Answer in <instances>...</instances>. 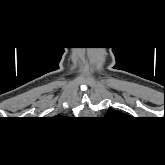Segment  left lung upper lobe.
Instances as JSON below:
<instances>
[{"mask_svg": "<svg viewBox=\"0 0 165 165\" xmlns=\"http://www.w3.org/2000/svg\"><path fill=\"white\" fill-rule=\"evenodd\" d=\"M108 115H112V116H121L123 115L122 113L118 112V111H115V110H111L108 112Z\"/></svg>", "mask_w": 165, "mask_h": 165, "instance_id": "obj_1", "label": "left lung upper lobe"}]
</instances>
